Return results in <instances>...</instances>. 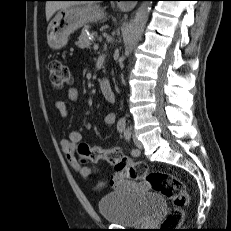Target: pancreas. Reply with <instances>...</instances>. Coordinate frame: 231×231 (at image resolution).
Returning <instances> with one entry per match:
<instances>
[{"label": "pancreas", "mask_w": 231, "mask_h": 231, "mask_svg": "<svg viewBox=\"0 0 231 231\" xmlns=\"http://www.w3.org/2000/svg\"><path fill=\"white\" fill-rule=\"evenodd\" d=\"M90 31V28L87 26L82 29L81 35L78 38V41L75 43L80 48H89L91 43L94 41L89 40L88 32ZM91 35H95V33H92Z\"/></svg>", "instance_id": "1"}]
</instances>
